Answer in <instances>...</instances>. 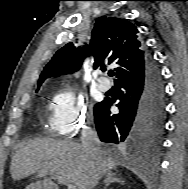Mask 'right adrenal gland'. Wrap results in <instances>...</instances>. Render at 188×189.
Returning <instances> with one entry per match:
<instances>
[{
  "mask_svg": "<svg viewBox=\"0 0 188 189\" xmlns=\"http://www.w3.org/2000/svg\"><path fill=\"white\" fill-rule=\"evenodd\" d=\"M114 182L124 183V181L119 179V178H117L114 173H111V172L107 173L106 178L104 180V183H105L104 189H107V187L111 183H114Z\"/></svg>",
  "mask_w": 188,
  "mask_h": 189,
  "instance_id": "2a0ac1e0",
  "label": "right adrenal gland"
}]
</instances>
